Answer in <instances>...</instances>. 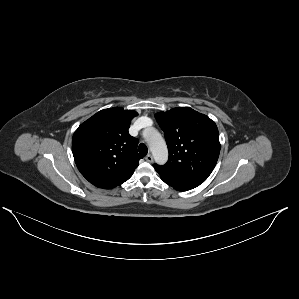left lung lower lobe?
Returning a JSON list of instances; mask_svg holds the SVG:
<instances>
[{
  "label": "left lung lower lobe",
  "mask_w": 299,
  "mask_h": 299,
  "mask_svg": "<svg viewBox=\"0 0 299 299\" xmlns=\"http://www.w3.org/2000/svg\"><path fill=\"white\" fill-rule=\"evenodd\" d=\"M161 177V176H160ZM161 179L167 183L168 185H170L171 187H173L176 190L179 191H187L190 189H193L197 186H199L201 183L199 182H180V181H173V180H168L166 178L161 177Z\"/></svg>",
  "instance_id": "0a47b994"
}]
</instances>
